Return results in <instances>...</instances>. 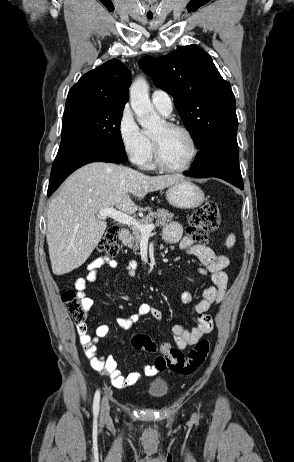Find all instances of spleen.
Masks as SVG:
<instances>
[{
    "label": "spleen",
    "mask_w": 294,
    "mask_h": 462,
    "mask_svg": "<svg viewBox=\"0 0 294 462\" xmlns=\"http://www.w3.org/2000/svg\"><path fill=\"white\" fill-rule=\"evenodd\" d=\"M235 243V236L233 234H230L227 239H226V246L228 248H231Z\"/></svg>",
    "instance_id": "spleen-1"
}]
</instances>
